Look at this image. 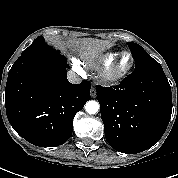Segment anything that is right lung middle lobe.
Returning <instances> with one entry per match:
<instances>
[{"label":"right lung middle lobe","mask_w":178,"mask_h":178,"mask_svg":"<svg viewBox=\"0 0 178 178\" xmlns=\"http://www.w3.org/2000/svg\"><path fill=\"white\" fill-rule=\"evenodd\" d=\"M53 53L56 52L46 45L42 36H39L28 48L22 52L21 56L48 55Z\"/></svg>","instance_id":"right-lung-middle-lobe-1"}]
</instances>
